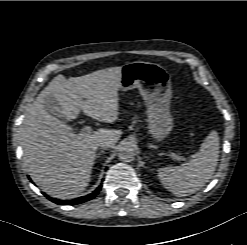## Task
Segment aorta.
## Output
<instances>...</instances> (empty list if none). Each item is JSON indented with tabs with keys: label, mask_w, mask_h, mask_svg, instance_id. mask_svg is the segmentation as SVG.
<instances>
[{
	"label": "aorta",
	"mask_w": 247,
	"mask_h": 245,
	"mask_svg": "<svg viewBox=\"0 0 247 245\" xmlns=\"http://www.w3.org/2000/svg\"><path fill=\"white\" fill-rule=\"evenodd\" d=\"M135 149L131 145H123L118 152V157L124 162H131L135 159Z\"/></svg>",
	"instance_id": "aorta-1"
}]
</instances>
